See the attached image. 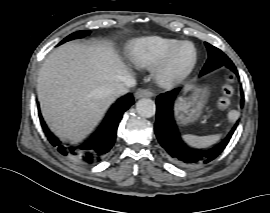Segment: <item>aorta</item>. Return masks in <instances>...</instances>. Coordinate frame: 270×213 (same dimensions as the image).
<instances>
[{"instance_id": "1", "label": "aorta", "mask_w": 270, "mask_h": 213, "mask_svg": "<svg viewBox=\"0 0 270 213\" xmlns=\"http://www.w3.org/2000/svg\"><path fill=\"white\" fill-rule=\"evenodd\" d=\"M136 110L140 116L150 118L156 112V105L153 100L149 98H143L136 103Z\"/></svg>"}]
</instances>
